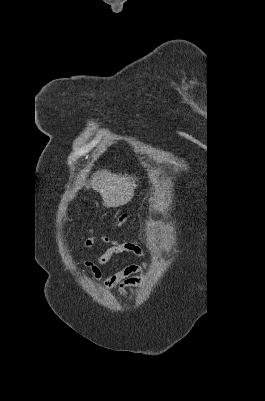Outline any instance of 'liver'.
Here are the masks:
<instances>
[{
	"instance_id": "1",
	"label": "liver",
	"mask_w": 265,
	"mask_h": 401,
	"mask_svg": "<svg viewBox=\"0 0 265 401\" xmlns=\"http://www.w3.org/2000/svg\"><path fill=\"white\" fill-rule=\"evenodd\" d=\"M135 178L128 174H115L108 170H97L90 182L92 188L100 192L102 196V205L109 207H122L127 205L134 196Z\"/></svg>"
}]
</instances>
